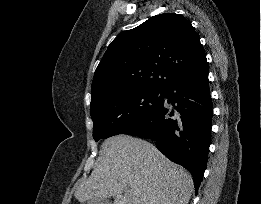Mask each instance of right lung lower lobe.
<instances>
[{"mask_svg":"<svg viewBox=\"0 0 261 204\" xmlns=\"http://www.w3.org/2000/svg\"><path fill=\"white\" fill-rule=\"evenodd\" d=\"M206 58L162 90V99L142 119L124 130L155 141L171 161L192 174L198 190L207 166L212 102Z\"/></svg>","mask_w":261,"mask_h":204,"instance_id":"98d812e1","label":"right lung lower lobe"}]
</instances>
